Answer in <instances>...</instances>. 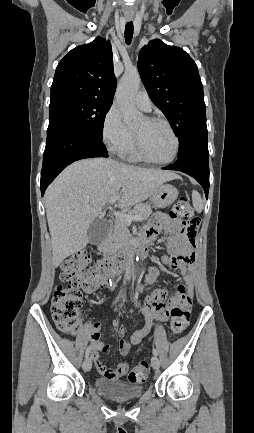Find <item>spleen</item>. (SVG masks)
<instances>
[{"label":"spleen","instance_id":"spleen-1","mask_svg":"<svg viewBox=\"0 0 254 433\" xmlns=\"http://www.w3.org/2000/svg\"><path fill=\"white\" fill-rule=\"evenodd\" d=\"M192 202L196 212L201 213L203 210V200L196 190L192 191Z\"/></svg>","mask_w":254,"mask_h":433}]
</instances>
